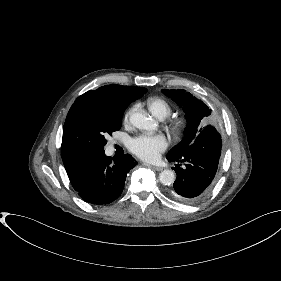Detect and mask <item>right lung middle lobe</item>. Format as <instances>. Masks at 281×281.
<instances>
[{
    "label": "right lung middle lobe",
    "mask_w": 281,
    "mask_h": 281,
    "mask_svg": "<svg viewBox=\"0 0 281 281\" xmlns=\"http://www.w3.org/2000/svg\"><path fill=\"white\" fill-rule=\"evenodd\" d=\"M127 107L100 100L87 92L79 96L63 127L61 155L65 168L103 152L107 143L105 136L121 128L122 115Z\"/></svg>",
    "instance_id": "obj_1"
}]
</instances>
